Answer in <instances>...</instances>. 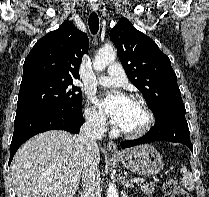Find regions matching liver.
<instances>
[{
    "mask_svg": "<svg viewBox=\"0 0 209 197\" xmlns=\"http://www.w3.org/2000/svg\"><path fill=\"white\" fill-rule=\"evenodd\" d=\"M94 159L98 165L99 148ZM85 160L78 136L63 130L35 135L18 149L11 164L17 197H73Z\"/></svg>",
    "mask_w": 209,
    "mask_h": 197,
    "instance_id": "6515ba94",
    "label": "liver"
}]
</instances>
